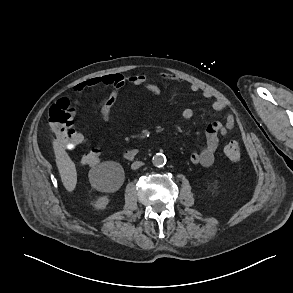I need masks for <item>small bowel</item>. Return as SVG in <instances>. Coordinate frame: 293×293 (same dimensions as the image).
Masks as SVG:
<instances>
[{
    "label": "small bowel",
    "mask_w": 293,
    "mask_h": 293,
    "mask_svg": "<svg viewBox=\"0 0 293 293\" xmlns=\"http://www.w3.org/2000/svg\"><path fill=\"white\" fill-rule=\"evenodd\" d=\"M158 77L167 81L181 82V78L169 73H159ZM129 83L134 86H145L152 94H159L160 87L156 84L148 82V78L144 74H135L128 78L123 77L120 74H106L102 76H93L84 81L78 83L73 87L74 92H81L82 90L90 87L108 86L112 87L110 91L96 106L101 120L105 123L110 121L113 105L117 99L119 91ZM191 91L201 92L205 99H213L214 95L209 90H203L198 84H191ZM225 105L221 100H214L212 102V109L214 111H222ZM194 111L191 108H186L182 112V118L186 121L192 119ZM235 126V118L232 114L226 115L225 121H214L210 123L205 131V144L204 147L197 152H193L190 156V160L193 164L209 167L215 160V154L219 144V135H225L230 132Z\"/></svg>",
    "instance_id": "1"
}]
</instances>
